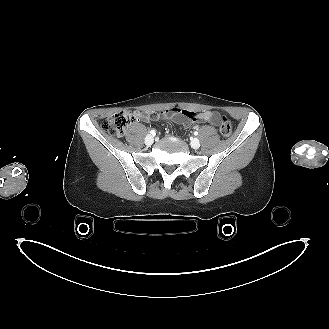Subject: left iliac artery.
<instances>
[{
    "label": "left iliac artery",
    "mask_w": 329,
    "mask_h": 329,
    "mask_svg": "<svg viewBox=\"0 0 329 329\" xmlns=\"http://www.w3.org/2000/svg\"><path fill=\"white\" fill-rule=\"evenodd\" d=\"M194 135H196V136H197V135H198V132H197V131H195V132H194Z\"/></svg>",
    "instance_id": "44dca946"
}]
</instances>
